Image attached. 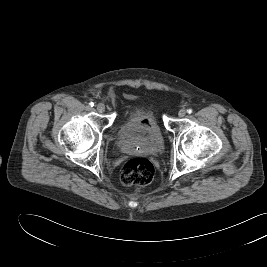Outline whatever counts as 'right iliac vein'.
Segmentation results:
<instances>
[{"instance_id": "right-iliac-vein-1", "label": "right iliac vein", "mask_w": 267, "mask_h": 267, "mask_svg": "<svg viewBox=\"0 0 267 267\" xmlns=\"http://www.w3.org/2000/svg\"><path fill=\"white\" fill-rule=\"evenodd\" d=\"M96 109L99 113H103L105 111V105L103 103H98Z\"/></svg>"}]
</instances>
